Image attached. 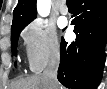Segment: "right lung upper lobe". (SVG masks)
Returning a JSON list of instances; mask_svg holds the SVG:
<instances>
[{"label": "right lung upper lobe", "instance_id": "1", "mask_svg": "<svg viewBox=\"0 0 107 89\" xmlns=\"http://www.w3.org/2000/svg\"><path fill=\"white\" fill-rule=\"evenodd\" d=\"M36 0H18L13 11L12 28L28 24L36 17Z\"/></svg>", "mask_w": 107, "mask_h": 89}]
</instances>
